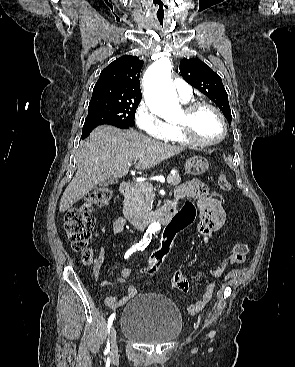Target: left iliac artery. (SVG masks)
Returning <instances> with one entry per match:
<instances>
[{"label":"left iliac artery","mask_w":295,"mask_h":367,"mask_svg":"<svg viewBox=\"0 0 295 367\" xmlns=\"http://www.w3.org/2000/svg\"><path fill=\"white\" fill-rule=\"evenodd\" d=\"M140 250H141V251H143V250H144V247H143V248H141Z\"/></svg>","instance_id":"44dca946"}]
</instances>
